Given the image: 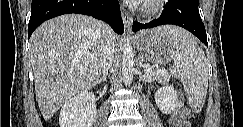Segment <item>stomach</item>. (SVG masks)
Wrapping results in <instances>:
<instances>
[{
  "mask_svg": "<svg viewBox=\"0 0 243 127\" xmlns=\"http://www.w3.org/2000/svg\"><path fill=\"white\" fill-rule=\"evenodd\" d=\"M137 49L148 61L157 64H168L175 56L173 41L166 34V26L142 31L137 36Z\"/></svg>",
  "mask_w": 243,
  "mask_h": 127,
  "instance_id": "0dacf381",
  "label": "stomach"
}]
</instances>
